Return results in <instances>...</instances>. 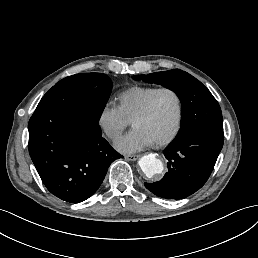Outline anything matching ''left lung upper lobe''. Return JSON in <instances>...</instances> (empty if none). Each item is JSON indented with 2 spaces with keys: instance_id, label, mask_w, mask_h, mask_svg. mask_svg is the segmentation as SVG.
<instances>
[{
  "instance_id": "obj_1",
  "label": "left lung upper lobe",
  "mask_w": 258,
  "mask_h": 258,
  "mask_svg": "<svg viewBox=\"0 0 258 258\" xmlns=\"http://www.w3.org/2000/svg\"><path fill=\"white\" fill-rule=\"evenodd\" d=\"M143 80L165 86L179 97L181 108V129L172 143L183 141L203 130L223 131L222 112L210 91L196 78L179 69L135 75Z\"/></svg>"
}]
</instances>
